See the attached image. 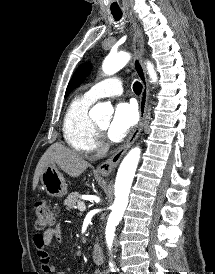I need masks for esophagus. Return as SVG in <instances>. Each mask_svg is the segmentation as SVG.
I'll return each mask as SVG.
<instances>
[{
    "label": "esophagus",
    "instance_id": "esophagus-1",
    "mask_svg": "<svg viewBox=\"0 0 215 274\" xmlns=\"http://www.w3.org/2000/svg\"><path fill=\"white\" fill-rule=\"evenodd\" d=\"M129 18L134 28V67L143 86L140 99V120L125 144L122 145L110 158L97 167V173L103 176H108L113 169L117 167L123 155L138 138L143 128L148 104L149 85L146 77V71L142 63V56L144 54V37L135 20L131 16Z\"/></svg>",
    "mask_w": 215,
    "mask_h": 274
}]
</instances>
